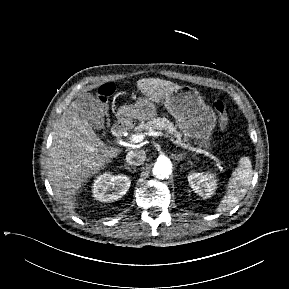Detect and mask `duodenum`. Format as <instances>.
<instances>
[{
    "instance_id": "obj_1",
    "label": "duodenum",
    "mask_w": 289,
    "mask_h": 289,
    "mask_svg": "<svg viewBox=\"0 0 289 289\" xmlns=\"http://www.w3.org/2000/svg\"><path fill=\"white\" fill-rule=\"evenodd\" d=\"M131 123L127 119H119L113 126L112 132L116 138L123 137L130 129Z\"/></svg>"
}]
</instances>
